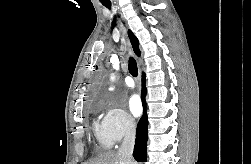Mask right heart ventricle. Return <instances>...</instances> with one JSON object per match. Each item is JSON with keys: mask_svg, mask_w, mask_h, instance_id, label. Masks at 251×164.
Here are the masks:
<instances>
[{"mask_svg": "<svg viewBox=\"0 0 251 164\" xmlns=\"http://www.w3.org/2000/svg\"><path fill=\"white\" fill-rule=\"evenodd\" d=\"M93 130H94V134H95V137L97 139V142H98L100 148L104 149V150L110 149L113 142L106 134V132L102 126V123L100 124L98 122H94Z\"/></svg>", "mask_w": 251, "mask_h": 164, "instance_id": "e07e8e85", "label": "right heart ventricle"}]
</instances>
